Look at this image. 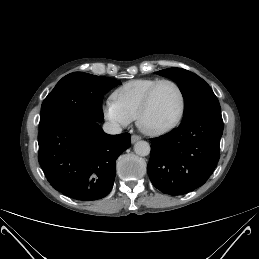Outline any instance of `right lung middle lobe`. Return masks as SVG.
<instances>
[{
    "instance_id": "right-lung-middle-lobe-1",
    "label": "right lung middle lobe",
    "mask_w": 259,
    "mask_h": 259,
    "mask_svg": "<svg viewBox=\"0 0 259 259\" xmlns=\"http://www.w3.org/2000/svg\"><path fill=\"white\" fill-rule=\"evenodd\" d=\"M120 82L107 77L74 72L63 77L42 103L40 127L60 118L103 120L102 99Z\"/></svg>"
}]
</instances>
